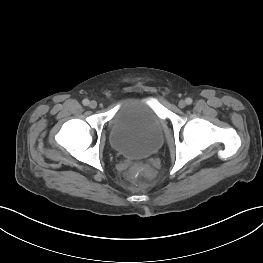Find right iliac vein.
<instances>
[{
    "instance_id": "63e3f726",
    "label": "right iliac vein",
    "mask_w": 263,
    "mask_h": 263,
    "mask_svg": "<svg viewBox=\"0 0 263 263\" xmlns=\"http://www.w3.org/2000/svg\"><path fill=\"white\" fill-rule=\"evenodd\" d=\"M89 107L91 108V109H95L96 107H97V102L96 101H91L90 103H89Z\"/></svg>"
}]
</instances>
